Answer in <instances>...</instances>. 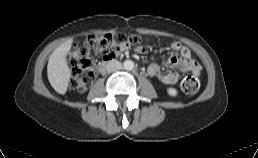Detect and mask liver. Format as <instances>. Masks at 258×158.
<instances>
[{"label": "liver", "instance_id": "obj_1", "mask_svg": "<svg viewBox=\"0 0 258 158\" xmlns=\"http://www.w3.org/2000/svg\"><path fill=\"white\" fill-rule=\"evenodd\" d=\"M73 40L69 39L50 55L47 65L48 80L53 89L59 94H65L69 85L71 70L66 56L72 47Z\"/></svg>", "mask_w": 258, "mask_h": 158}]
</instances>
